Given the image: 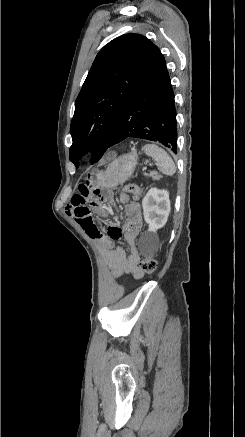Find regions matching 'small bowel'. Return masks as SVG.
Listing matches in <instances>:
<instances>
[{"label":"small bowel","mask_w":245,"mask_h":437,"mask_svg":"<svg viewBox=\"0 0 245 437\" xmlns=\"http://www.w3.org/2000/svg\"><path fill=\"white\" fill-rule=\"evenodd\" d=\"M106 155L109 157L111 154L108 152ZM76 188L78 193L72 197L67 205V214L80 225L91 239L96 241L107 265L112 270V277L114 279H119L123 275L141 277L140 256L136 247L137 236L143 227L140 206L133 202L126 203L124 205L126 218L123 226L109 224L107 235H105L99 231L91 216L93 206H99V201L85 203V198L94 189V186L89 182H83L78 183ZM102 197L107 201L111 200L108 192L102 193ZM102 217H106V214L102 213ZM120 240H124L130 245V253H127L122 247L116 246V242Z\"/></svg>","instance_id":"c3829d8e"}]
</instances>
